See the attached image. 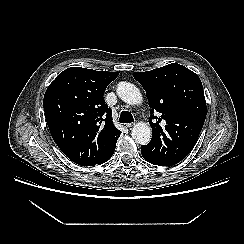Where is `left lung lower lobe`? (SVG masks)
Returning a JSON list of instances; mask_svg holds the SVG:
<instances>
[{
	"label": "left lung lower lobe",
	"instance_id": "1",
	"mask_svg": "<svg viewBox=\"0 0 244 244\" xmlns=\"http://www.w3.org/2000/svg\"><path fill=\"white\" fill-rule=\"evenodd\" d=\"M141 153L143 155V158L149 163H151V156L149 155V152L146 150L144 146H141Z\"/></svg>",
	"mask_w": 244,
	"mask_h": 244
}]
</instances>
